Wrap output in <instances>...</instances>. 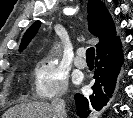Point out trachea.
Instances as JSON below:
<instances>
[{
	"label": "trachea",
	"mask_w": 133,
	"mask_h": 118,
	"mask_svg": "<svg viewBox=\"0 0 133 118\" xmlns=\"http://www.w3.org/2000/svg\"><path fill=\"white\" fill-rule=\"evenodd\" d=\"M86 58L87 60H94L95 58V49L93 47H90L86 51Z\"/></svg>",
	"instance_id": "3493384b"
}]
</instances>
